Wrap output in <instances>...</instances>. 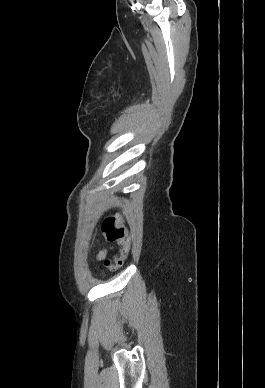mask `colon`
<instances>
[{"instance_id": "5ec220e1", "label": "colon", "mask_w": 265, "mask_h": 388, "mask_svg": "<svg viewBox=\"0 0 265 388\" xmlns=\"http://www.w3.org/2000/svg\"><path fill=\"white\" fill-rule=\"evenodd\" d=\"M102 232L110 242H117L122 246L119 255L114 259L106 260L104 266L107 269H117L127 260L130 248L131 238L127 235L124 227V218L120 214L107 217L102 224Z\"/></svg>"}]
</instances>
